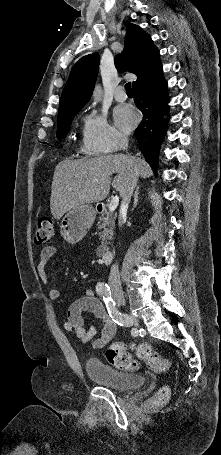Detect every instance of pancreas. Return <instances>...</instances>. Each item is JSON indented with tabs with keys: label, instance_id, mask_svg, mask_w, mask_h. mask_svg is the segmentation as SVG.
<instances>
[{
	"label": "pancreas",
	"instance_id": "1",
	"mask_svg": "<svg viewBox=\"0 0 221 455\" xmlns=\"http://www.w3.org/2000/svg\"><path fill=\"white\" fill-rule=\"evenodd\" d=\"M98 229L101 230L100 232V240L101 244L97 248V255H102L106 249L107 245L112 240V236L115 229V218L112 217L110 214L106 216L102 215L99 216V221L97 222Z\"/></svg>",
	"mask_w": 221,
	"mask_h": 455
}]
</instances>
